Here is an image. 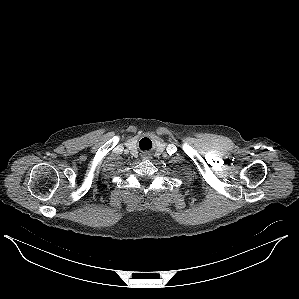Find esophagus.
I'll return each instance as SVG.
<instances>
[{
	"mask_svg": "<svg viewBox=\"0 0 299 299\" xmlns=\"http://www.w3.org/2000/svg\"><path fill=\"white\" fill-rule=\"evenodd\" d=\"M143 158H144V159L148 158L147 154H144V155H143Z\"/></svg>",
	"mask_w": 299,
	"mask_h": 299,
	"instance_id": "1",
	"label": "esophagus"
}]
</instances>
